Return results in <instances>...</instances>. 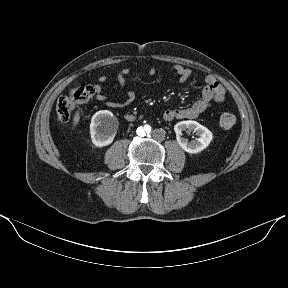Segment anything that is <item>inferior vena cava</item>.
<instances>
[{
  "mask_svg": "<svg viewBox=\"0 0 288 288\" xmlns=\"http://www.w3.org/2000/svg\"><path fill=\"white\" fill-rule=\"evenodd\" d=\"M151 138H152V140L155 141V142H161V141H163L164 138H165V133H164V131L161 130V129H155V130H153L152 133H151Z\"/></svg>",
  "mask_w": 288,
  "mask_h": 288,
  "instance_id": "inferior-vena-cava-1",
  "label": "inferior vena cava"
}]
</instances>
